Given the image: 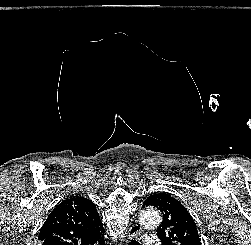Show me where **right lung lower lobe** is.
Returning <instances> with one entry per match:
<instances>
[{
  "label": "right lung lower lobe",
  "mask_w": 251,
  "mask_h": 245,
  "mask_svg": "<svg viewBox=\"0 0 251 245\" xmlns=\"http://www.w3.org/2000/svg\"><path fill=\"white\" fill-rule=\"evenodd\" d=\"M103 236V235H102ZM100 237L97 241L100 243V245H105V240L103 239V237ZM96 241V242H97ZM95 243V242H94Z\"/></svg>",
  "instance_id": "1"
}]
</instances>
